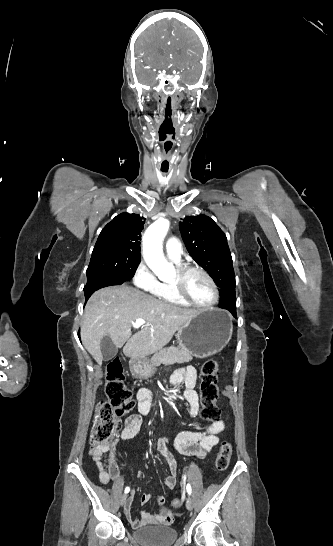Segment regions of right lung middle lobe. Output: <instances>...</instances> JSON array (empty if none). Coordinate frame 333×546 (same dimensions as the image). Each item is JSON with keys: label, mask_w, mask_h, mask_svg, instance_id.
<instances>
[{"label": "right lung middle lobe", "mask_w": 333, "mask_h": 546, "mask_svg": "<svg viewBox=\"0 0 333 546\" xmlns=\"http://www.w3.org/2000/svg\"><path fill=\"white\" fill-rule=\"evenodd\" d=\"M138 264L137 259L124 252H93L86 271L87 279L92 276H105L121 281H129L134 276Z\"/></svg>", "instance_id": "1"}]
</instances>
